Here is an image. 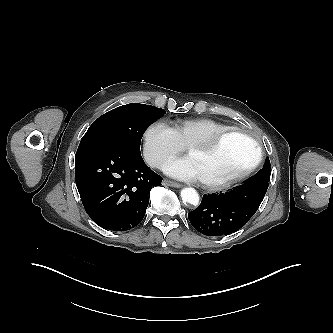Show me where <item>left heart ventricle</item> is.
Instances as JSON below:
<instances>
[{
	"mask_svg": "<svg viewBox=\"0 0 333 333\" xmlns=\"http://www.w3.org/2000/svg\"><path fill=\"white\" fill-rule=\"evenodd\" d=\"M188 156L192 159L200 180L217 182L245 169L254 160L255 148L248 138L233 134L224 138L211 151L194 149Z\"/></svg>",
	"mask_w": 333,
	"mask_h": 333,
	"instance_id": "1",
	"label": "left heart ventricle"
}]
</instances>
